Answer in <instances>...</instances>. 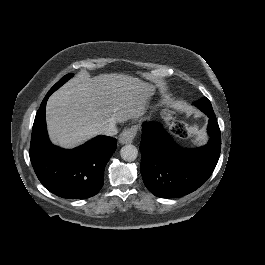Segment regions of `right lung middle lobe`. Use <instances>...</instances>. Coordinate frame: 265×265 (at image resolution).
<instances>
[{"instance_id":"obj_1","label":"right lung middle lobe","mask_w":265,"mask_h":265,"mask_svg":"<svg viewBox=\"0 0 265 265\" xmlns=\"http://www.w3.org/2000/svg\"><path fill=\"white\" fill-rule=\"evenodd\" d=\"M73 76V74H67L65 76H63L51 89H50V93H53L55 90H57L60 86H62L66 81H68L71 77Z\"/></svg>"}]
</instances>
